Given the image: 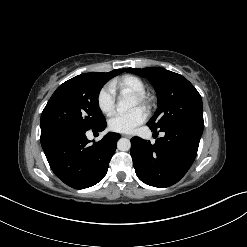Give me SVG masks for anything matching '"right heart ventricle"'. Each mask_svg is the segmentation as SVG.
I'll return each mask as SVG.
<instances>
[{"label": "right heart ventricle", "mask_w": 247, "mask_h": 247, "mask_svg": "<svg viewBox=\"0 0 247 247\" xmlns=\"http://www.w3.org/2000/svg\"><path fill=\"white\" fill-rule=\"evenodd\" d=\"M113 88L120 92L131 94L145 92L146 85L144 81L135 75H125L113 84Z\"/></svg>", "instance_id": "e07e8e85"}]
</instances>
